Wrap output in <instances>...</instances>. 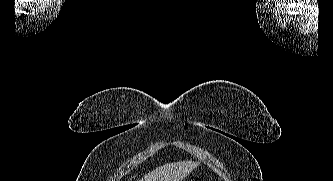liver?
<instances>
[{
    "label": "liver",
    "instance_id": "6515ba94",
    "mask_svg": "<svg viewBox=\"0 0 333 181\" xmlns=\"http://www.w3.org/2000/svg\"><path fill=\"white\" fill-rule=\"evenodd\" d=\"M197 165L192 161L168 163L149 172L139 181H182Z\"/></svg>",
    "mask_w": 333,
    "mask_h": 181
}]
</instances>
